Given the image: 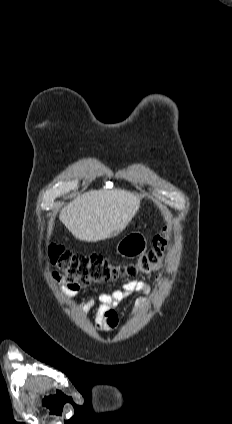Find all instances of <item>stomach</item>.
I'll return each mask as SVG.
<instances>
[{
	"label": "stomach",
	"instance_id": "0dacf381",
	"mask_svg": "<svg viewBox=\"0 0 232 424\" xmlns=\"http://www.w3.org/2000/svg\"><path fill=\"white\" fill-rule=\"evenodd\" d=\"M147 249L146 237L140 232H133L122 238L116 251L123 257H137Z\"/></svg>",
	"mask_w": 232,
	"mask_h": 424
}]
</instances>
